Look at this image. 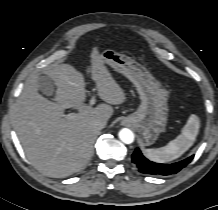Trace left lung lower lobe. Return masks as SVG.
<instances>
[{
  "label": "left lung lower lobe",
  "instance_id": "left-lung-lower-lobe-1",
  "mask_svg": "<svg viewBox=\"0 0 218 210\" xmlns=\"http://www.w3.org/2000/svg\"><path fill=\"white\" fill-rule=\"evenodd\" d=\"M194 155L177 163L173 164H158L146 159L141 151L136 148L132 154V162L136 165L138 170L144 174L151 175H170L175 174L184 168L193 159Z\"/></svg>",
  "mask_w": 218,
  "mask_h": 210
}]
</instances>
